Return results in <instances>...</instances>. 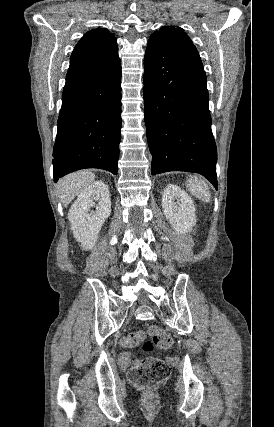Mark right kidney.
<instances>
[{
  "instance_id": "1",
  "label": "right kidney",
  "mask_w": 274,
  "mask_h": 427,
  "mask_svg": "<svg viewBox=\"0 0 274 427\" xmlns=\"http://www.w3.org/2000/svg\"><path fill=\"white\" fill-rule=\"evenodd\" d=\"M98 202V204H95ZM90 208H96L91 212ZM111 214L110 192L104 182H93L87 186L72 204L68 217L73 235L83 249H93L98 233L106 217Z\"/></svg>"
}]
</instances>
